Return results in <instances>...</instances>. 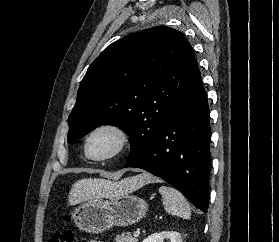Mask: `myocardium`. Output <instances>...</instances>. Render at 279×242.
Masks as SVG:
<instances>
[{"label": "myocardium", "instance_id": "myocardium-1", "mask_svg": "<svg viewBox=\"0 0 279 242\" xmlns=\"http://www.w3.org/2000/svg\"><path fill=\"white\" fill-rule=\"evenodd\" d=\"M108 131L115 135L116 137V145L114 149L101 157H93L89 153V144L91 139L98 133ZM130 134L129 132L120 124L115 122H103L96 126H94L87 134L84 141V153L85 156L94 162H105L112 160L118 156H120L129 146L130 144Z\"/></svg>", "mask_w": 279, "mask_h": 242}]
</instances>
